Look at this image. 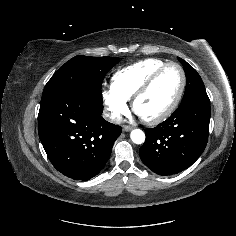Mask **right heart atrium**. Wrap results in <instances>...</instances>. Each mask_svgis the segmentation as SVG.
<instances>
[{
  "label": "right heart atrium",
  "mask_w": 236,
  "mask_h": 236,
  "mask_svg": "<svg viewBox=\"0 0 236 236\" xmlns=\"http://www.w3.org/2000/svg\"><path fill=\"white\" fill-rule=\"evenodd\" d=\"M101 97L108 116L112 120L119 119L128 111V100L119 95L112 86L103 89Z\"/></svg>",
  "instance_id": "right-heart-atrium-1"
}]
</instances>
